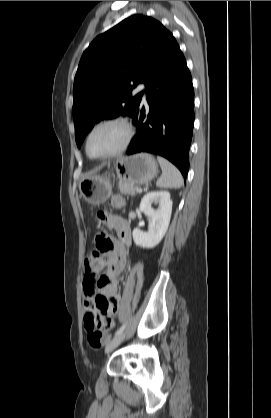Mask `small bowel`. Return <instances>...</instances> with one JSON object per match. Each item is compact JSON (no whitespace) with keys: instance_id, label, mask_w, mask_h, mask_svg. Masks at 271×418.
<instances>
[{"instance_id":"small-bowel-1","label":"small bowel","mask_w":271,"mask_h":418,"mask_svg":"<svg viewBox=\"0 0 271 418\" xmlns=\"http://www.w3.org/2000/svg\"><path fill=\"white\" fill-rule=\"evenodd\" d=\"M110 224L118 230L122 243H118L111 251L104 253L100 259H88L83 279L85 314L89 310H97L106 330L113 327V316L118 312V281L127 265L126 246L130 244V230L127 222L120 217H112ZM104 264L107 268L103 275L97 278V288L106 298L107 305L104 309H96V286L93 275L100 271Z\"/></svg>"}]
</instances>
